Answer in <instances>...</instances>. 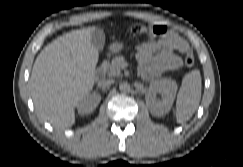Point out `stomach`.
Masks as SVG:
<instances>
[{
    "label": "stomach",
    "mask_w": 243,
    "mask_h": 167,
    "mask_svg": "<svg viewBox=\"0 0 243 167\" xmlns=\"http://www.w3.org/2000/svg\"><path fill=\"white\" fill-rule=\"evenodd\" d=\"M124 45L120 42H114L109 46V51L111 53H117L123 49Z\"/></svg>",
    "instance_id": "0dacf381"
}]
</instances>
